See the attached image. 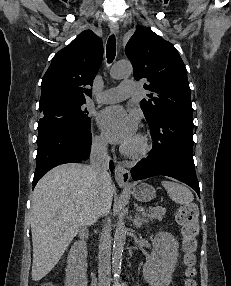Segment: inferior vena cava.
<instances>
[{
  "label": "inferior vena cava",
  "instance_id": "obj_1",
  "mask_svg": "<svg viewBox=\"0 0 231 286\" xmlns=\"http://www.w3.org/2000/svg\"><path fill=\"white\" fill-rule=\"evenodd\" d=\"M110 157L107 152V142L102 139H96L92 142L90 163L91 171L98 182L97 204L93 211V218L99 219L106 216L109 210L104 205L103 200V185L110 179L108 173ZM99 263L98 276L99 286H110L111 281V243L108 232L105 228L99 234Z\"/></svg>",
  "mask_w": 231,
  "mask_h": 286
}]
</instances>
